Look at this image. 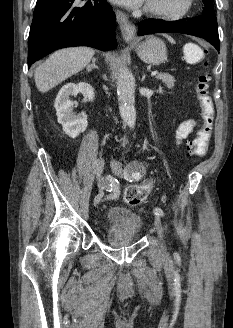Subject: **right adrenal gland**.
<instances>
[{
	"label": "right adrenal gland",
	"mask_w": 233,
	"mask_h": 328,
	"mask_svg": "<svg viewBox=\"0 0 233 328\" xmlns=\"http://www.w3.org/2000/svg\"><path fill=\"white\" fill-rule=\"evenodd\" d=\"M96 62V57L92 58V64L88 65L86 70L90 72L93 68L99 69L98 66L95 64Z\"/></svg>",
	"instance_id": "1"
}]
</instances>
